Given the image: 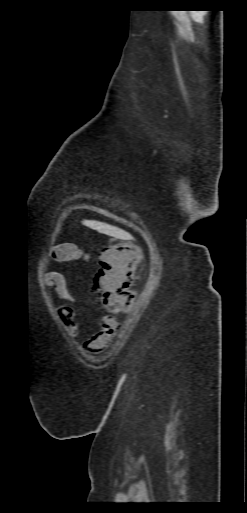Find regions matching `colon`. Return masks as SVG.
<instances>
[{"mask_svg": "<svg viewBox=\"0 0 247 513\" xmlns=\"http://www.w3.org/2000/svg\"><path fill=\"white\" fill-rule=\"evenodd\" d=\"M139 261V249L132 243L109 245L100 253L94 290L107 311L119 313L131 306Z\"/></svg>", "mask_w": 247, "mask_h": 513, "instance_id": "1", "label": "colon"}]
</instances>
